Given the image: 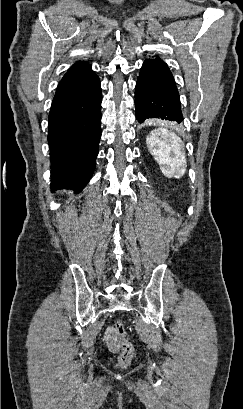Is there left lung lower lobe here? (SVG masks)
I'll return each mask as SVG.
<instances>
[{"label": "left lung lower lobe", "mask_w": 243, "mask_h": 409, "mask_svg": "<svg viewBox=\"0 0 243 409\" xmlns=\"http://www.w3.org/2000/svg\"><path fill=\"white\" fill-rule=\"evenodd\" d=\"M135 105L139 123L149 118L183 120L179 93L167 64L155 59L144 61L135 87Z\"/></svg>", "instance_id": "1"}]
</instances>
